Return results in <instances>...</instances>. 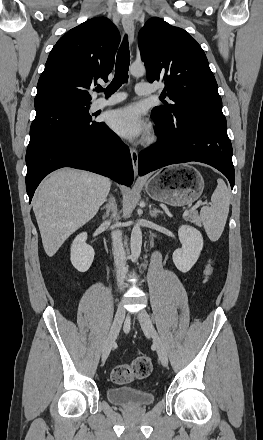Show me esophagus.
I'll return each instance as SVG.
<instances>
[{"mask_svg": "<svg viewBox=\"0 0 263 440\" xmlns=\"http://www.w3.org/2000/svg\"><path fill=\"white\" fill-rule=\"evenodd\" d=\"M122 25L124 28V31L128 35L129 43L132 45L134 40V23L131 17L129 16H123L122 18ZM131 158H132V164H133V170L135 176L138 175V151L134 148H131L130 150Z\"/></svg>", "mask_w": 263, "mask_h": 440, "instance_id": "obj_1", "label": "esophagus"}]
</instances>
